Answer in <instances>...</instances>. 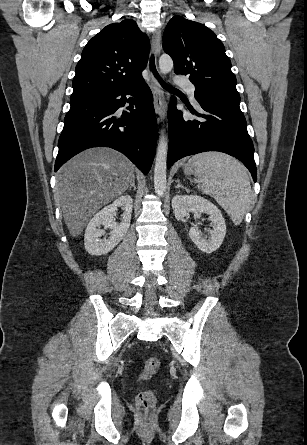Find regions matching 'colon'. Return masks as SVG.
I'll list each match as a JSON object with an SVG mask.
<instances>
[{"instance_id":"obj_1","label":"colon","mask_w":307,"mask_h":445,"mask_svg":"<svg viewBox=\"0 0 307 445\" xmlns=\"http://www.w3.org/2000/svg\"><path fill=\"white\" fill-rule=\"evenodd\" d=\"M160 366V362L157 358L151 357L148 358L143 368L140 372V379L147 380L152 377V375L158 370ZM137 404L141 409L149 410L151 409L155 404V395L150 390H144L140 392L137 396Z\"/></svg>"}]
</instances>
